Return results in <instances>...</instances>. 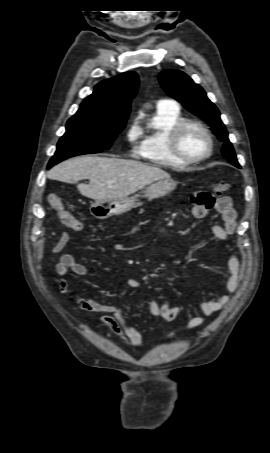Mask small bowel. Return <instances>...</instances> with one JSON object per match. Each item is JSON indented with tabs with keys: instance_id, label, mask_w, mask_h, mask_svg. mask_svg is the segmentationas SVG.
Masks as SVG:
<instances>
[{
	"instance_id": "obj_1",
	"label": "small bowel",
	"mask_w": 270,
	"mask_h": 453,
	"mask_svg": "<svg viewBox=\"0 0 270 453\" xmlns=\"http://www.w3.org/2000/svg\"><path fill=\"white\" fill-rule=\"evenodd\" d=\"M193 214L196 218L204 217L208 208L199 202L193 200ZM215 208L222 218V225L214 224L211 226V231L214 236L221 240L226 241L236 231V213L232 206V201L228 196L219 197L215 201ZM70 241V234L64 232L59 240L53 247L55 254L61 253L66 245ZM117 249L121 248V245H116ZM227 267L229 270V277L222 285L226 289V293L218 299H208L200 302L199 308L204 316L210 317L217 311L223 309L231 300L232 295L238 288L239 281L241 278V259L236 253H232L227 261ZM69 271H72L77 276H84L86 274V267L77 262L73 255L64 253L60 256V260L56 265V273L60 277L58 281V288L62 293L69 292V285L67 280L64 278ZM165 274H162L159 279L164 280ZM128 287L132 289L139 288L141 282L137 278H129L127 280ZM76 303L79 309L89 314H97L98 322L101 325L108 327L122 342L125 344L141 348L143 345L142 336L139 331L129 324L125 318L124 310L116 305L102 303L90 298L77 297ZM148 311L156 316H160L167 322L174 321L180 314H182L186 306L185 305H174L172 299H167L163 303L157 301H150L147 304ZM204 322L203 317L192 318L187 329H194L201 326ZM173 333H169L172 336Z\"/></svg>"
}]
</instances>
